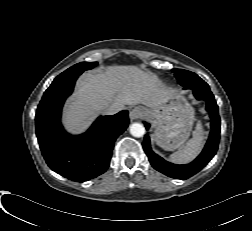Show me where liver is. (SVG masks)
I'll return each mask as SVG.
<instances>
[{
  "instance_id": "6515ba94",
  "label": "liver",
  "mask_w": 252,
  "mask_h": 231,
  "mask_svg": "<svg viewBox=\"0 0 252 231\" xmlns=\"http://www.w3.org/2000/svg\"><path fill=\"white\" fill-rule=\"evenodd\" d=\"M173 92L166 88L155 74L136 66H109L83 74L76 91L66 105L64 125L73 132L84 131L104 106L143 104L159 108Z\"/></svg>"
}]
</instances>
